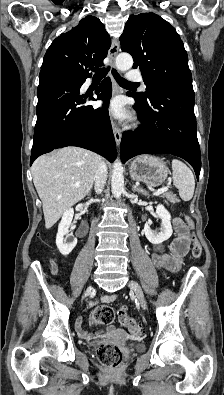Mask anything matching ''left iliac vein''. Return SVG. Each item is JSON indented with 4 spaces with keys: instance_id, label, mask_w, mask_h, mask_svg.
<instances>
[{
    "instance_id": "obj_1",
    "label": "left iliac vein",
    "mask_w": 224,
    "mask_h": 395,
    "mask_svg": "<svg viewBox=\"0 0 224 395\" xmlns=\"http://www.w3.org/2000/svg\"><path fill=\"white\" fill-rule=\"evenodd\" d=\"M129 287L135 292L141 307L143 309H146V301L144 299V294L139 284L135 281H130Z\"/></svg>"
}]
</instances>
